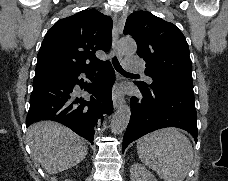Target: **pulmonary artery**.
<instances>
[{"instance_id":"obj_1","label":"pulmonary artery","mask_w":228,"mask_h":181,"mask_svg":"<svg viewBox=\"0 0 228 181\" xmlns=\"http://www.w3.org/2000/svg\"><path fill=\"white\" fill-rule=\"evenodd\" d=\"M124 61L122 63V66L124 67V71H143V66H135L134 62H140V57H125Z\"/></svg>"}]
</instances>
